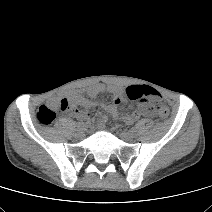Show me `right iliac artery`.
<instances>
[{
    "label": "right iliac artery",
    "mask_w": 212,
    "mask_h": 212,
    "mask_svg": "<svg viewBox=\"0 0 212 212\" xmlns=\"http://www.w3.org/2000/svg\"><path fill=\"white\" fill-rule=\"evenodd\" d=\"M84 126H85V124L83 122H78V123H76V126L75 127L77 129H82Z\"/></svg>",
    "instance_id": "right-iliac-artery-1"
}]
</instances>
